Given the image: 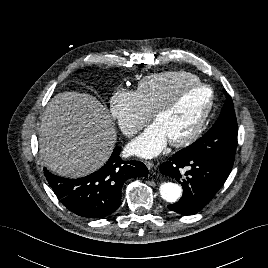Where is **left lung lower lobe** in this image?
Here are the masks:
<instances>
[{
  "label": "left lung lower lobe",
  "instance_id": "left-lung-lower-lobe-1",
  "mask_svg": "<svg viewBox=\"0 0 268 268\" xmlns=\"http://www.w3.org/2000/svg\"><path fill=\"white\" fill-rule=\"evenodd\" d=\"M184 167L188 168L185 174L181 172ZM231 170L232 165L218 159L175 153L162 163L160 172L182 185L183 196L168 208L183 215L201 211L225 183Z\"/></svg>",
  "mask_w": 268,
  "mask_h": 268
}]
</instances>
